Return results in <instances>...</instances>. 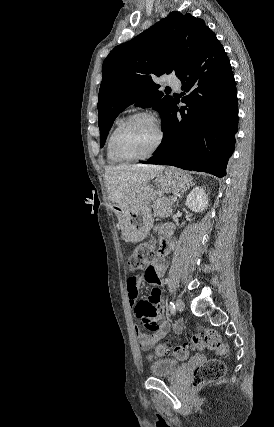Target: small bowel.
<instances>
[{"label": "small bowel", "instance_id": "obj_1", "mask_svg": "<svg viewBox=\"0 0 274 427\" xmlns=\"http://www.w3.org/2000/svg\"><path fill=\"white\" fill-rule=\"evenodd\" d=\"M166 225V224H165ZM153 269H147L145 274L136 275L127 280V299L130 305H134L139 297L140 284L146 280L151 284L160 286L163 276L167 270L168 262L166 259H158L153 263ZM156 272V273H155ZM156 274V277H154ZM151 278V279H149ZM160 303L159 289H150L149 299H139V304L135 305V311L132 314L136 338L140 348L143 350L145 345H154L161 340L170 330L179 333L182 330L180 321L171 322L164 318ZM138 327H144L145 332H155L148 335Z\"/></svg>", "mask_w": 274, "mask_h": 427}]
</instances>
